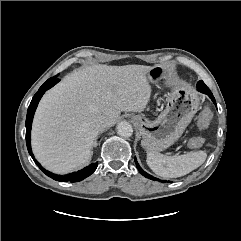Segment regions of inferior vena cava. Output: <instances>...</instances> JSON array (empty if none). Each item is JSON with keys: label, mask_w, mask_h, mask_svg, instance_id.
I'll return each instance as SVG.
<instances>
[{"label": "inferior vena cava", "mask_w": 241, "mask_h": 241, "mask_svg": "<svg viewBox=\"0 0 241 241\" xmlns=\"http://www.w3.org/2000/svg\"><path fill=\"white\" fill-rule=\"evenodd\" d=\"M107 125V119L105 117H99L94 121V127L98 130L105 128Z\"/></svg>", "instance_id": "602c4592"}]
</instances>
